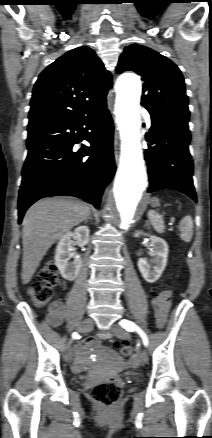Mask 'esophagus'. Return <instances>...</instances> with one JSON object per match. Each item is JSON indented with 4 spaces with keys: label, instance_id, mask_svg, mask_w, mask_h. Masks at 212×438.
<instances>
[{
    "label": "esophagus",
    "instance_id": "1",
    "mask_svg": "<svg viewBox=\"0 0 212 438\" xmlns=\"http://www.w3.org/2000/svg\"><path fill=\"white\" fill-rule=\"evenodd\" d=\"M119 139H118V133L115 132L114 135V154H115V160L118 161L119 158Z\"/></svg>",
    "mask_w": 212,
    "mask_h": 438
}]
</instances>
